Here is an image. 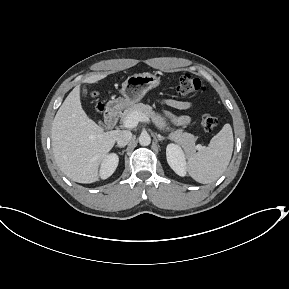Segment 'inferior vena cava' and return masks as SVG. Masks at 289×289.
Here are the masks:
<instances>
[{
  "label": "inferior vena cava",
  "instance_id": "602c4592",
  "mask_svg": "<svg viewBox=\"0 0 289 289\" xmlns=\"http://www.w3.org/2000/svg\"><path fill=\"white\" fill-rule=\"evenodd\" d=\"M132 139V133L127 130L119 131L116 137L117 145L126 146Z\"/></svg>",
  "mask_w": 289,
  "mask_h": 289
}]
</instances>
